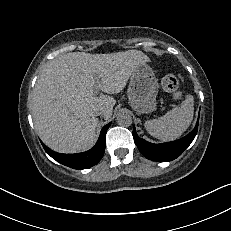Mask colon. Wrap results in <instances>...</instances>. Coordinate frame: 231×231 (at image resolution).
<instances>
[{
	"instance_id": "5ec220e1",
	"label": "colon",
	"mask_w": 231,
	"mask_h": 231,
	"mask_svg": "<svg viewBox=\"0 0 231 231\" xmlns=\"http://www.w3.org/2000/svg\"><path fill=\"white\" fill-rule=\"evenodd\" d=\"M161 84L164 91L171 94V96L174 99L176 100L181 99L182 93L179 88V81L174 75L172 74L165 75L162 79Z\"/></svg>"
}]
</instances>
